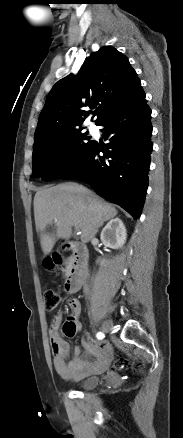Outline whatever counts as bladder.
<instances>
[{"instance_id": "obj_1", "label": "bladder", "mask_w": 183, "mask_h": 438, "mask_svg": "<svg viewBox=\"0 0 183 438\" xmlns=\"http://www.w3.org/2000/svg\"><path fill=\"white\" fill-rule=\"evenodd\" d=\"M99 382L100 377L98 376L87 377L80 382L79 387L84 390H89L95 388L99 384Z\"/></svg>"}]
</instances>
